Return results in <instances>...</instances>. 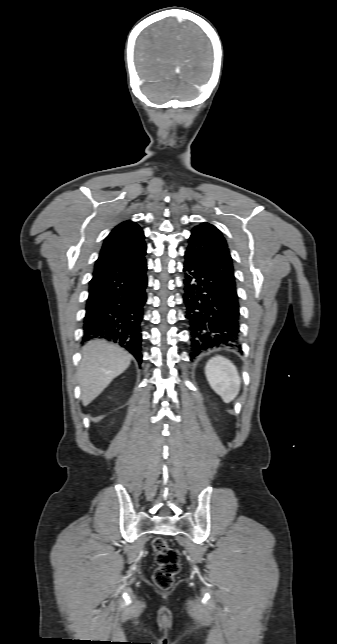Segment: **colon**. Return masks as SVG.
Here are the masks:
<instances>
[{
	"label": "colon",
	"instance_id": "5ec220e1",
	"mask_svg": "<svg viewBox=\"0 0 337 644\" xmlns=\"http://www.w3.org/2000/svg\"><path fill=\"white\" fill-rule=\"evenodd\" d=\"M157 568L154 572V582L161 589H169L174 583V577L180 570L178 552L170 547L162 537L153 540Z\"/></svg>",
	"mask_w": 337,
	"mask_h": 644
}]
</instances>
